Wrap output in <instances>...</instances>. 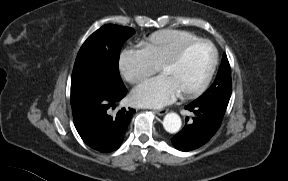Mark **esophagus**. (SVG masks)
<instances>
[{
	"mask_svg": "<svg viewBox=\"0 0 288 181\" xmlns=\"http://www.w3.org/2000/svg\"><path fill=\"white\" fill-rule=\"evenodd\" d=\"M157 115L162 116L167 113V109H159L154 111Z\"/></svg>",
	"mask_w": 288,
	"mask_h": 181,
	"instance_id": "34e87169",
	"label": "esophagus"
}]
</instances>
